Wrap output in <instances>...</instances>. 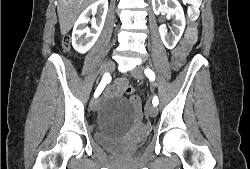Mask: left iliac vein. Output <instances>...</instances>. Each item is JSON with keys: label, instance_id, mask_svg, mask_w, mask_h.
Masks as SVG:
<instances>
[{"label": "left iliac vein", "instance_id": "left-iliac-vein-1", "mask_svg": "<svg viewBox=\"0 0 250 169\" xmlns=\"http://www.w3.org/2000/svg\"><path fill=\"white\" fill-rule=\"evenodd\" d=\"M132 75L135 79L141 80L144 78V67L138 66L132 71ZM148 114L151 117H155L157 115V108L154 105H150L147 107Z\"/></svg>", "mask_w": 250, "mask_h": 169}]
</instances>
